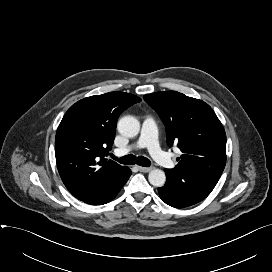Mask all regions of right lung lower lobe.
Listing matches in <instances>:
<instances>
[{
	"label": "right lung lower lobe",
	"instance_id": "98d812e1",
	"mask_svg": "<svg viewBox=\"0 0 272 272\" xmlns=\"http://www.w3.org/2000/svg\"><path fill=\"white\" fill-rule=\"evenodd\" d=\"M130 175H131V170L128 169L126 175L120 182L106 189L104 192L96 196L94 199L86 200L84 202L91 205H102V204L108 203L109 201H111L113 198L116 197V195L119 193L121 188L129 179Z\"/></svg>",
	"mask_w": 272,
	"mask_h": 272
}]
</instances>
